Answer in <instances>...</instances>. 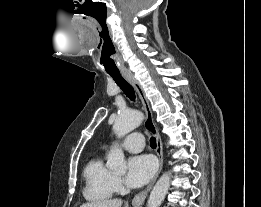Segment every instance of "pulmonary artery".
<instances>
[{"label": "pulmonary artery", "mask_w": 261, "mask_h": 207, "mask_svg": "<svg viewBox=\"0 0 261 207\" xmlns=\"http://www.w3.org/2000/svg\"><path fill=\"white\" fill-rule=\"evenodd\" d=\"M122 146L129 152H140L144 146V138L141 133H132L126 138Z\"/></svg>", "instance_id": "1"}]
</instances>
